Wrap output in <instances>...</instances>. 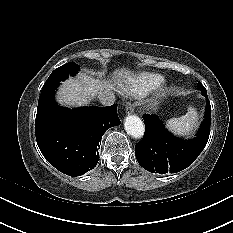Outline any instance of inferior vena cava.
I'll return each mask as SVG.
<instances>
[{
	"mask_svg": "<svg viewBox=\"0 0 233 233\" xmlns=\"http://www.w3.org/2000/svg\"><path fill=\"white\" fill-rule=\"evenodd\" d=\"M99 101L104 106H110L115 102V96L113 93H101L98 95Z\"/></svg>",
	"mask_w": 233,
	"mask_h": 233,
	"instance_id": "obj_1",
	"label": "inferior vena cava"
}]
</instances>
